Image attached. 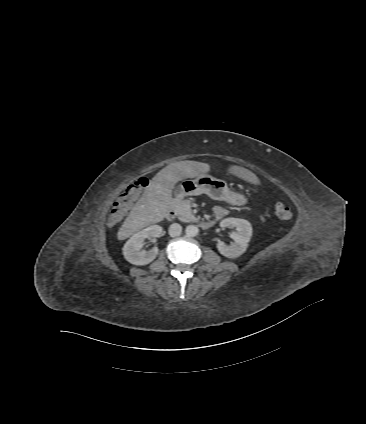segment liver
Masks as SVG:
<instances>
[{
    "mask_svg": "<svg viewBox=\"0 0 366 424\" xmlns=\"http://www.w3.org/2000/svg\"><path fill=\"white\" fill-rule=\"evenodd\" d=\"M210 171L207 163L180 161L159 171L144 190L117 233L124 240L144 227L162 221L173 206L172 190L181 180L197 177ZM228 172L246 182L260 184L258 177L240 166L232 165Z\"/></svg>",
    "mask_w": 366,
    "mask_h": 424,
    "instance_id": "liver-1",
    "label": "liver"
}]
</instances>
